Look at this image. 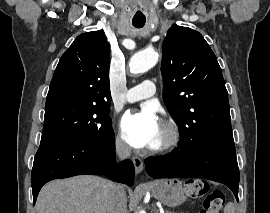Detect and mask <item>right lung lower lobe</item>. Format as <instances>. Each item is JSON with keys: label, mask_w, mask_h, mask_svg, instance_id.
I'll use <instances>...</instances> for the list:
<instances>
[{"label": "right lung lower lobe", "mask_w": 270, "mask_h": 213, "mask_svg": "<svg viewBox=\"0 0 270 213\" xmlns=\"http://www.w3.org/2000/svg\"><path fill=\"white\" fill-rule=\"evenodd\" d=\"M82 174L106 175L113 181L133 184V163L115 162L114 132L95 140L41 141L31 174L34 204L41 187L48 181Z\"/></svg>", "instance_id": "98d812e1"}]
</instances>
